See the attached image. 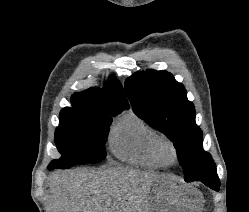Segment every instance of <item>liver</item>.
<instances>
[{
  "instance_id": "obj_1",
  "label": "liver",
  "mask_w": 249,
  "mask_h": 212,
  "mask_svg": "<svg viewBox=\"0 0 249 212\" xmlns=\"http://www.w3.org/2000/svg\"><path fill=\"white\" fill-rule=\"evenodd\" d=\"M166 174L133 168L56 170L49 180L53 212H149L150 192Z\"/></svg>"
}]
</instances>
